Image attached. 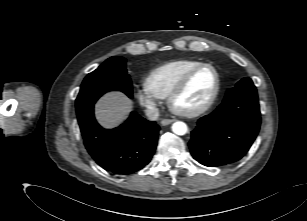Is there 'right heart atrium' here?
<instances>
[{"label": "right heart atrium", "instance_id": "1", "mask_svg": "<svg viewBox=\"0 0 307 221\" xmlns=\"http://www.w3.org/2000/svg\"><path fill=\"white\" fill-rule=\"evenodd\" d=\"M134 96L139 104L146 109L150 114L154 113L158 107V100L146 89H136Z\"/></svg>", "mask_w": 307, "mask_h": 221}]
</instances>
